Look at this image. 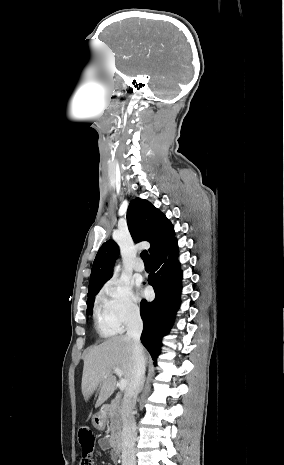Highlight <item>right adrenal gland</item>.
<instances>
[{
	"mask_svg": "<svg viewBox=\"0 0 284 465\" xmlns=\"http://www.w3.org/2000/svg\"><path fill=\"white\" fill-rule=\"evenodd\" d=\"M145 381H146V377H144V381H143V387H144V383H145ZM143 387H142V389H143ZM142 389H141V391H142Z\"/></svg>",
	"mask_w": 284,
	"mask_h": 465,
	"instance_id": "right-adrenal-gland-1",
	"label": "right adrenal gland"
}]
</instances>
